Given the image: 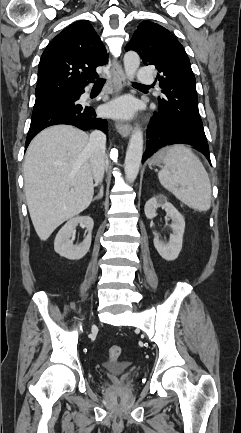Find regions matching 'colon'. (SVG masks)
<instances>
[{
	"instance_id": "1",
	"label": "colon",
	"mask_w": 241,
	"mask_h": 433,
	"mask_svg": "<svg viewBox=\"0 0 241 433\" xmlns=\"http://www.w3.org/2000/svg\"><path fill=\"white\" fill-rule=\"evenodd\" d=\"M122 353V349L119 346H112L109 349V362L113 363L114 361H116L120 355Z\"/></svg>"
}]
</instances>
